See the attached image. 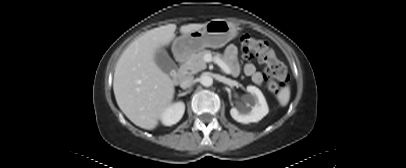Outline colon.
Listing matches in <instances>:
<instances>
[{"label":"colon","instance_id":"5ec220e1","mask_svg":"<svg viewBox=\"0 0 406 168\" xmlns=\"http://www.w3.org/2000/svg\"><path fill=\"white\" fill-rule=\"evenodd\" d=\"M241 52L247 60H258L265 64V80L267 88L273 94L279 93L284 86L287 71L284 65L276 58L269 44L260 39L244 35L241 38Z\"/></svg>","mask_w":406,"mask_h":168}]
</instances>
